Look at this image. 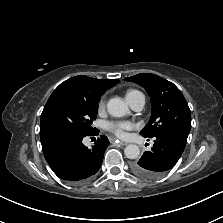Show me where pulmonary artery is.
<instances>
[{"label": "pulmonary artery", "instance_id": "obj_1", "mask_svg": "<svg viewBox=\"0 0 223 223\" xmlns=\"http://www.w3.org/2000/svg\"><path fill=\"white\" fill-rule=\"evenodd\" d=\"M129 103L134 111H141L145 105V97L142 93L138 94Z\"/></svg>", "mask_w": 223, "mask_h": 223}]
</instances>
